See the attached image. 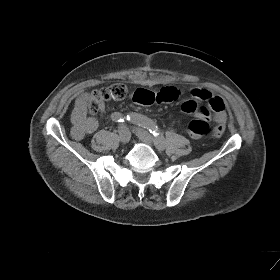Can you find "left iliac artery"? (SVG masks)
Instances as JSON below:
<instances>
[{"instance_id":"obj_1","label":"left iliac artery","mask_w":280,"mask_h":280,"mask_svg":"<svg viewBox=\"0 0 280 280\" xmlns=\"http://www.w3.org/2000/svg\"><path fill=\"white\" fill-rule=\"evenodd\" d=\"M127 120L148 129L149 132L155 137V143L157 146L165 145L164 137L160 133L158 126L153 120L137 113H130L127 115Z\"/></svg>"}]
</instances>
